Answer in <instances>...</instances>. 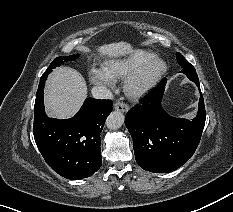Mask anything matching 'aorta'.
Segmentation results:
<instances>
[{"label":"aorta","mask_w":233,"mask_h":212,"mask_svg":"<svg viewBox=\"0 0 233 212\" xmlns=\"http://www.w3.org/2000/svg\"><path fill=\"white\" fill-rule=\"evenodd\" d=\"M123 123H124V115L120 111L112 112L106 120V126L110 130H115L120 128L123 125Z\"/></svg>","instance_id":"762f6f07"}]
</instances>
